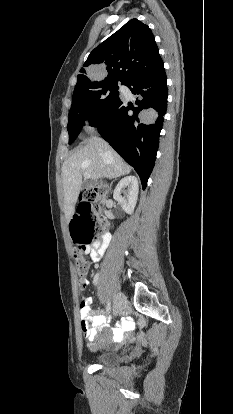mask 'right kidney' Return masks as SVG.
Listing matches in <instances>:
<instances>
[{
  "instance_id": "ca27d5eb",
  "label": "right kidney",
  "mask_w": 233,
  "mask_h": 414,
  "mask_svg": "<svg viewBox=\"0 0 233 414\" xmlns=\"http://www.w3.org/2000/svg\"><path fill=\"white\" fill-rule=\"evenodd\" d=\"M125 188L127 189L125 190ZM122 193L124 196L121 195ZM138 193L137 178L135 176H127L121 179L115 187L113 198L126 213L132 214L137 203Z\"/></svg>"
}]
</instances>
